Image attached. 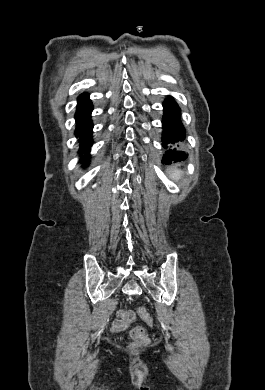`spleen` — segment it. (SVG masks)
Listing matches in <instances>:
<instances>
[{
  "label": "spleen",
  "mask_w": 265,
  "mask_h": 390,
  "mask_svg": "<svg viewBox=\"0 0 265 390\" xmlns=\"http://www.w3.org/2000/svg\"><path fill=\"white\" fill-rule=\"evenodd\" d=\"M180 175H181V171L180 170H173V172L171 174V178L178 179V178H180Z\"/></svg>",
  "instance_id": "3e777b00"
}]
</instances>
